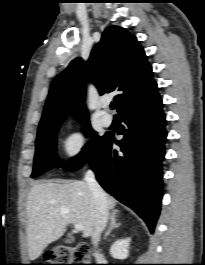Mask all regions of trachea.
I'll list each match as a JSON object with an SVG mask.
<instances>
[{
	"label": "trachea",
	"mask_w": 205,
	"mask_h": 265,
	"mask_svg": "<svg viewBox=\"0 0 205 265\" xmlns=\"http://www.w3.org/2000/svg\"><path fill=\"white\" fill-rule=\"evenodd\" d=\"M111 109H114L115 108V103L112 102L111 105H110Z\"/></svg>",
	"instance_id": "obj_1"
}]
</instances>
